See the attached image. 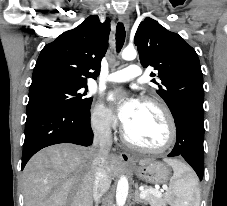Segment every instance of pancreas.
<instances>
[{
	"label": "pancreas",
	"mask_w": 227,
	"mask_h": 206,
	"mask_svg": "<svg viewBox=\"0 0 227 206\" xmlns=\"http://www.w3.org/2000/svg\"><path fill=\"white\" fill-rule=\"evenodd\" d=\"M152 187H145L144 190H151ZM145 203H149L151 206H166V201L161 197L155 196L152 193H148V195L144 199Z\"/></svg>",
	"instance_id": "obj_1"
}]
</instances>
